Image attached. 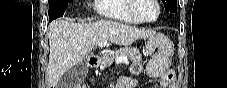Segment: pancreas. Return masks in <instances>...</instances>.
I'll list each match as a JSON object with an SVG mask.
<instances>
[{
  "label": "pancreas",
  "instance_id": "obj_1",
  "mask_svg": "<svg viewBox=\"0 0 227 88\" xmlns=\"http://www.w3.org/2000/svg\"><path fill=\"white\" fill-rule=\"evenodd\" d=\"M121 56H126L130 60H132L136 63H140L141 58H142L140 51L138 49H135V48L119 49L113 54H108V55H105L104 57H102L101 62H100L101 69L112 65V63L115 61V59L117 57H121Z\"/></svg>",
  "mask_w": 227,
  "mask_h": 88
}]
</instances>
